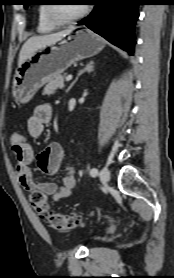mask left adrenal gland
<instances>
[{
	"mask_svg": "<svg viewBox=\"0 0 174 278\" xmlns=\"http://www.w3.org/2000/svg\"><path fill=\"white\" fill-rule=\"evenodd\" d=\"M94 70V62L93 61H90L89 63H87L86 64V66L82 69V70H80L79 71V73H78V75H77V77L75 78V80L70 84V86L68 87V89H67V92H69L71 89H72V87L74 86V84L78 81V79H79V77L83 74V73H85V72H91V71H93Z\"/></svg>",
	"mask_w": 174,
	"mask_h": 278,
	"instance_id": "obj_1",
	"label": "left adrenal gland"
}]
</instances>
